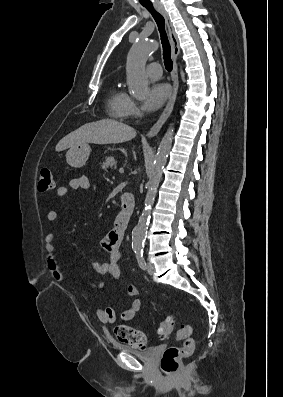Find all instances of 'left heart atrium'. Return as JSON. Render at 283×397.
I'll return each instance as SVG.
<instances>
[{
	"instance_id": "39dd6f15",
	"label": "left heart atrium",
	"mask_w": 283,
	"mask_h": 397,
	"mask_svg": "<svg viewBox=\"0 0 283 397\" xmlns=\"http://www.w3.org/2000/svg\"><path fill=\"white\" fill-rule=\"evenodd\" d=\"M170 88L166 84H155L148 90L143 108L148 112L158 110L168 99Z\"/></svg>"
}]
</instances>
